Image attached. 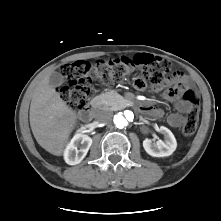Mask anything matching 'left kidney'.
<instances>
[{
    "label": "left kidney",
    "mask_w": 221,
    "mask_h": 221,
    "mask_svg": "<svg viewBox=\"0 0 221 221\" xmlns=\"http://www.w3.org/2000/svg\"><path fill=\"white\" fill-rule=\"evenodd\" d=\"M160 132L164 135V141L160 140L156 144L152 143L150 139L143 141L145 151L153 157H166L170 156L177 147L176 139L173 133L166 127L161 126Z\"/></svg>",
    "instance_id": "5707ae66"
}]
</instances>
